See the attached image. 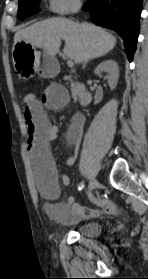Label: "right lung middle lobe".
<instances>
[{
	"label": "right lung middle lobe",
	"instance_id": "dd1d6c3e",
	"mask_svg": "<svg viewBox=\"0 0 148 279\" xmlns=\"http://www.w3.org/2000/svg\"><path fill=\"white\" fill-rule=\"evenodd\" d=\"M40 0H19L18 18L20 20L38 12L37 6Z\"/></svg>",
	"mask_w": 148,
	"mask_h": 279
}]
</instances>
